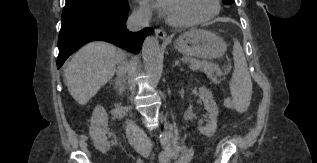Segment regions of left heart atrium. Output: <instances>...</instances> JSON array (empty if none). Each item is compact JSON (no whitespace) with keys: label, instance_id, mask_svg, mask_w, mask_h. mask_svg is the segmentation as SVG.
Masks as SVG:
<instances>
[{"label":"left heart atrium","instance_id":"39dd6f15","mask_svg":"<svg viewBox=\"0 0 317 163\" xmlns=\"http://www.w3.org/2000/svg\"><path fill=\"white\" fill-rule=\"evenodd\" d=\"M144 2L150 3L160 10H165L167 4V0H144Z\"/></svg>","mask_w":317,"mask_h":163}]
</instances>
